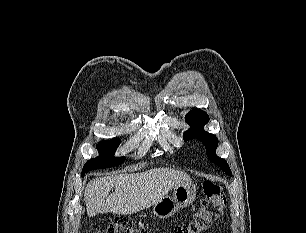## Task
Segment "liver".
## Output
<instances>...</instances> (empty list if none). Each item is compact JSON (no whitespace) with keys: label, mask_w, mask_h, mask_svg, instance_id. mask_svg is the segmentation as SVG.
<instances>
[{"label":"liver","mask_w":306,"mask_h":233,"mask_svg":"<svg viewBox=\"0 0 306 233\" xmlns=\"http://www.w3.org/2000/svg\"><path fill=\"white\" fill-rule=\"evenodd\" d=\"M183 181H191L188 174L169 168L95 178L84 191L87 215L136 213L159 202Z\"/></svg>","instance_id":"6515ba94"}]
</instances>
